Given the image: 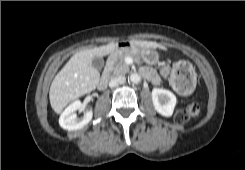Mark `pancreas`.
<instances>
[{
	"mask_svg": "<svg viewBox=\"0 0 245 170\" xmlns=\"http://www.w3.org/2000/svg\"><path fill=\"white\" fill-rule=\"evenodd\" d=\"M126 57H132L135 62L140 63V58L133 52H118L112 63L113 76L124 75L125 73L129 72V65L125 63Z\"/></svg>",
	"mask_w": 245,
	"mask_h": 170,
	"instance_id": "1",
	"label": "pancreas"
}]
</instances>
